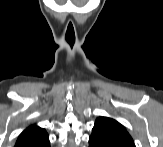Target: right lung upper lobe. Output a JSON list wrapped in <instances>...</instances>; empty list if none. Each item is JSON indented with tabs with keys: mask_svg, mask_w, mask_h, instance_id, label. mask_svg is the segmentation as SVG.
Here are the masks:
<instances>
[{
	"mask_svg": "<svg viewBox=\"0 0 163 147\" xmlns=\"http://www.w3.org/2000/svg\"><path fill=\"white\" fill-rule=\"evenodd\" d=\"M42 136H47V132L45 129L40 128L38 126H30L19 135L18 140L29 137H42Z\"/></svg>",
	"mask_w": 163,
	"mask_h": 147,
	"instance_id": "right-lung-upper-lobe-1",
	"label": "right lung upper lobe"
}]
</instances>
